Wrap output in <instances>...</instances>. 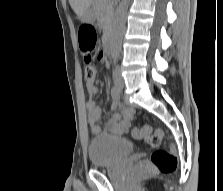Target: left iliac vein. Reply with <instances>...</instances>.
Instances as JSON below:
<instances>
[{
	"label": "left iliac vein",
	"instance_id": "4c4485c4",
	"mask_svg": "<svg viewBox=\"0 0 223 191\" xmlns=\"http://www.w3.org/2000/svg\"><path fill=\"white\" fill-rule=\"evenodd\" d=\"M118 87H119V89L121 90L122 88H123V86H124V81H123V79L122 78H120L119 79V81H118Z\"/></svg>",
	"mask_w": 223,
	"mask_h": 191
}]
</instances>
